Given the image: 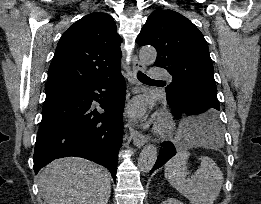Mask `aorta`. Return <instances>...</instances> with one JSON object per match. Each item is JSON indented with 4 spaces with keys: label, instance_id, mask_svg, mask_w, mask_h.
I'll use <instances>...</instances> for the list:
<instances>
[{
    "label": "aorta",
    "instance_id": "obj_1",
    "mask_svg": "<svg viewBox=\"0 0 261 204\" xmlns=\"http://www.w3.org/2000/svg\"><path fill=\"white\" fill-rule=\"evenodd\" d=\"M157 52L152 46L142 47L139 51V59L143 65H151L155 62ZM157 148L153 144L146 145L140 153L138 167L141 172H148L157 160Z\"/></svg>",
    "mask_w": 261,
    "mask_h": 204
}]
</instances>
